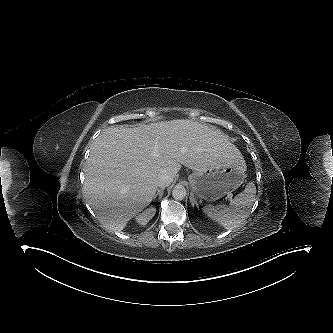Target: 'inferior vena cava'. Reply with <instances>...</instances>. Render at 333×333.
Returning <instances> with one entry per match:
<instances>
[{
  "label": "inferior vena cava",
  "mask_w": 333,
  "mask_h": 333,
  "mask_svg": "<svg viewBox=\"0 0 333 333\" xmlns=\"http://www.w3.org/2000/svg\"><path fill=\"white\" fill-rule=\"evenodd\" d=\"M173 177L167 173L160 174L157 179V186L160 188H165L171 184Z\"/></svg>",
  "instance_id": "1"
}]
</instances>
